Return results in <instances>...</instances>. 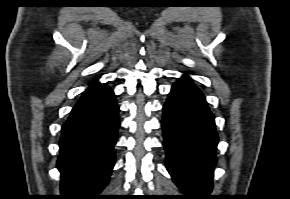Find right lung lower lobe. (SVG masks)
Returning <instances> with one entry per match:
<instances>
[{
  "mask_svg": "<svg viewBox=\"0 0 290 199\" xmlns=\"http://www.w3.org/2000/svg\"><path fill=\"white\" fill-rule=\"evenodd\" d=\"M118 112L113 90L100 83L90 85L73 107L59 141V199L102 198L115 163Z\"/></svg>",
  "mask_w": 290,
  "mask_h": 199,
  "instance_id": "obj_1",
  "label": "right lung lower lobe"
}]
</instances>
